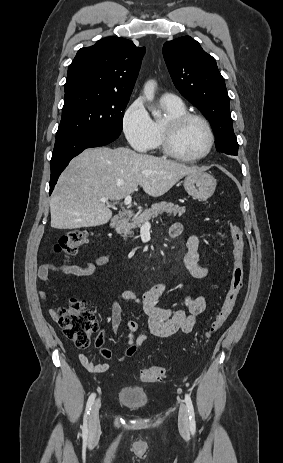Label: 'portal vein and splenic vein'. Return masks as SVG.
<instances>
[{"label":"portal vein and splenic vein","instance_id":"obj_1","mask_svg":"<svg viewBox=\"0 0 283 463\" xmlns=\"http://www.w3.org/2000/svg\"><path fill=\"white\" fill-rule=\"evenodd\" d=\"M101 201H102V202H105V203H107V204H109L108 200H106V199H104V198H102ZM131 203H132V197H131V195H127V196L125 197V199H124V204L127 205V206H130ZM145 225L149 226L150 224H149V222H146Z\"/></svg>","mask_w":283,"mask_h":463}]
</instances>
